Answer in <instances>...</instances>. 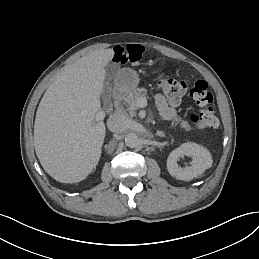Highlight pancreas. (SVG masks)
I'll use <instances>...</instances> for the list:
<instances>
[{
    "mask_svg": "<svg viewBox=\"0 0 259 259\" xmlns=\"http://www.w3.org/2000/svg\"><path fill=\"white\" fill-rule=\"evenodd\" d=\"M142 97H147V90L145 88H137L125 98V106L127 107V111L130 112L131 117H135V112L137 109V100ZM176 130L177 128L174 129V131ZM179 134H185V132L181 130L179 131Z\"/></svg>",
    "mask_w": 259,
    "mask_h": 259,
    "instance_id": "pancreas-1",
    "label": "pancreas"
}]
</instances>
